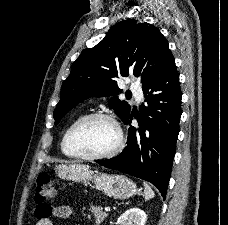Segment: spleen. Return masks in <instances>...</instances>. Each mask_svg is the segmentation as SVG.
I'll use <instances>...</instances> for the list:
<instances>
[{
  "label": "spleen",
  "mask_w": 228,
  "mask_h": 225,
  "mask_svg": "<svg viewBox=\"0 0 228 225\" xmlns=\"http://www.w3.org/2000/svg\"><path fill=\"white\" fill-rule=\"evenodd\" d=\"M155 197L154 191H152L151 187H149L148 183H144V199L145 201H150Z\"/></svg>",
  "instance_id": "1"
}]
</instances>
